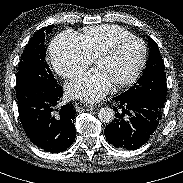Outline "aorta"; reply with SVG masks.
<instances>
[{"mask_svg":"<svg viewBox=\"0 0 183 183\" xmlns=\"http://www.w3.org/2000/svg\"><path fill=\"white\" fill-rule=\"evenodd\" d=\"M98 118L103 123H111L114 120V111L109 107H103L99 110Z\"/></svg>","mask_w":183,"mask_h":183,"instance_id":"1","label":"aorta"}]
</instances>
